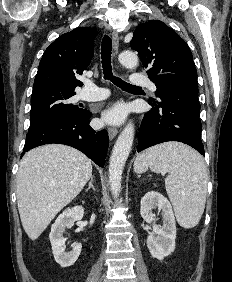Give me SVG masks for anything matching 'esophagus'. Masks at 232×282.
I'll return each mask as SVG.
<instances>
[{"label": "esophagus", "instance_id": "1", "mask_svg": "<svg viewBox=\"0 0 232 282\" xmlns=\"http://www.w3.org/2000/svg\"><path fill=\"white\" fill-rule=\"evenodd\" d=\"M112 43H113V50L114 53H118V47H119V34L117 31L112 32ZM118 134V130L115 127H109L108 128V135L110 140L114 139Z\"/></svg>", "mask_w": 232, "mask_h": 282}]
</instances>
